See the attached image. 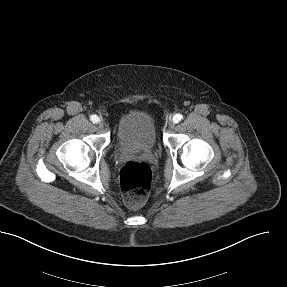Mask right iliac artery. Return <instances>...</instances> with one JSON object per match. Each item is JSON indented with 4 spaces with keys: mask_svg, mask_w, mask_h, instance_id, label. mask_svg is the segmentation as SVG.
I'll return each instance as SVG.
<instances>
[{
    "mask_svg": "<svg viewBox=\"0 0 287 287\" xmlns=\"http://www.w3.org/2000/svg\"><path fill=\"white\" fill-rule=\"evenodd\" d=\"M90 120L93 122V123H97L99 121V117L97 115H92L90 117Z\"/></svg>",
    "mask_w": 287,
    "mask_h": 287,
    "instance_id": "1",
    "label": "right iliac artery"
}]
</instances>
